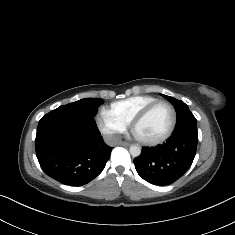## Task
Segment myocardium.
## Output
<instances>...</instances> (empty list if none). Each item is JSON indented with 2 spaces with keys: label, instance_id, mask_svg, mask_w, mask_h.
Masks as SVG:
<instances>
[{
  "label": "myocardium",
  "instance_id": "1",
  "mask_svg": "<svg viewBox=\"0 0 235 235\" xmlns=\"http://www.w3.org/2000/svg\"><path fill=\"white\" fill-rule=\"evenodd\" d=\"M161 105H166L169 107V109L171 110V114H172V119H171V124L170 127L167 131V133L165 135H163L162 137L153 139V140H141L139 139L136 135H135V128L137 127V125L141 122H143L144 120L147 119V117L153 112V110H155L158 106ZM176 124H177V111L176 108L174 107V105L172 103H170L169 101L166 100H157L153 103H151L150 105H148L146 108H144L139 114H137L131 124H130V129H131V133L134 137V139L145 146H155V145H159L165 141H167L174 133V130L176 128Z\"/></svg>",
  "mask_w": 235,
  "mask_h": 235
}]
</instances>
